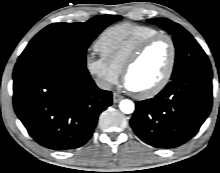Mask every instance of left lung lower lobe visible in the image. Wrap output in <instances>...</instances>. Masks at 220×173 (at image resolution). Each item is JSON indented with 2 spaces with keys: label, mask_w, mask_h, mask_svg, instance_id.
<instances>
[{
  "label": "left lung lower lobe",
  "mask_w": 220,
  "mask_h": 173,
  "mask_svg": "<svg viewBox=\"0 0 220 173\" xmlns=\"http://www.w3.org/2000/svg\"><path fill=\"white\" fill-rule=\"evenodd\" d=\"M130 124L145 143L175 148L190 140L212 107V70L187 72L172 79L154 98L136 101Z\"/></svg>",
  "instance_id": "obj_1"
}]
</instances>
